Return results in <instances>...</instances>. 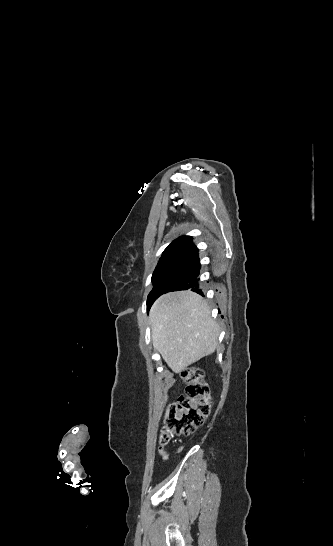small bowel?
<instances>
[{
	"label": "small bowel",
	"instance_id": "obj_1",
	"mask_svg": "<svg viewBox=\"0 0 333 546\" xmlns=\"http://www.w3.org/2000/svg\"><path fill=\"white\" fill-rule=\"evenodd\" d=\"M159 454H160V456H161V458H162L163 460H168V458H169L168 452H166L165 450H160V451H159Z\"/></svg>",
	"mask_w": 333,
	"mask_h": 546
}]
</instances>
